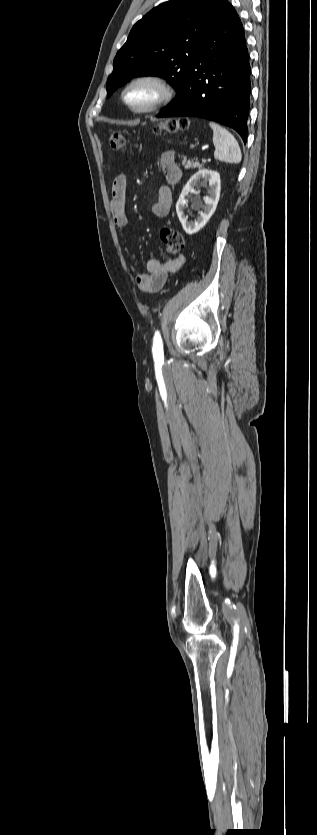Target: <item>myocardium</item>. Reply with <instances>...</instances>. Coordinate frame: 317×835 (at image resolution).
I'll use <instances>...</instances> for the list:
<instances>
[{
	"mask_svg": "<svg viewBox=\"0 0 317 835\" xmlns=\"http://www.w3.org/2000/svg\"><path fill=\"white\" fill-rule=\"evenodd\" d=\"M137 85L148 86L154 92V96L147 103L140 106L132 104L127 99V93ZM173 95L174 90L166 79L158 75L145 74L136 76L129 80L120 92V99L131 112L136 114H146L154 112L164 106L172 99Z\"/></svg>",
	"mask_w": 317,
	"mask_h": 835,
	"instance_id": "obj_1",
	"label": "myocardium"
}]
</instances>
